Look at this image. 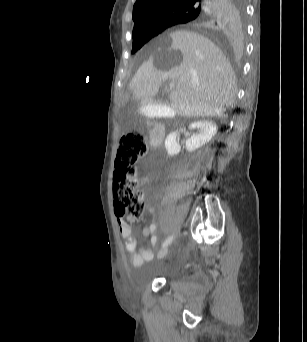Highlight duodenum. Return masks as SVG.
Here are the masks:
<instances>
[{
  "label": "duodenum",
  "mask_w": 307,
  "mask_h": 342,
  "mask_svg": "<svg viewBox=\"0 0 307 342\" xmlns=\"http://www.w3.org/2000/svg\"><path fill=\"white\" fill-rule=\"evenodd\" d=\"M165 138V128L160 123H154L152 125L149 135V145L152 151H155L161 147Z\"/></svg>",
  "instance_id": "410a0bca"
}]
</instances>
